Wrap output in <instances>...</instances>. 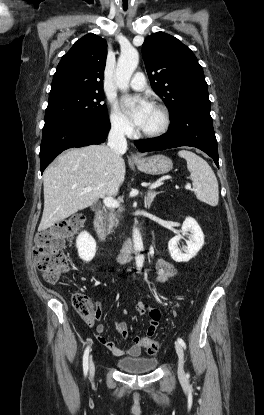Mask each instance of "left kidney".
<instances>
[{
	"label": "left kidney",
	"mask_w": 264,
	"mask_h": 415,
	"mask_svg": "<svg viewBox=\"0 0 264 415\" xmlns=\"http://www.w3.org/2000/svg\"><path fill=\"white\" fill-rule=\"evenodd\" d=\"M190 233V234H189ZM188 235L186 245L182 248L178 247L180 240ZM204 245V234L197 223L191 217H187L182 225V235H177L168 242V249L171 258L176 262H188L196 256L199 250Z\"/></svg>",
	"instance_id": "5707ae66"
}]
</instances>
